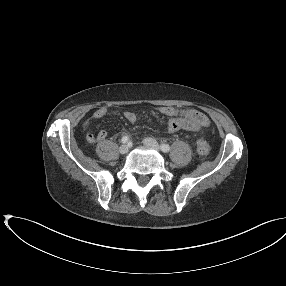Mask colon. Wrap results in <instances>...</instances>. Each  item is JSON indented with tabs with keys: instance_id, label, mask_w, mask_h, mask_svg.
Here are the masks:
<instances>
[{
	"instance_id": "1",
	"label": "colon",
	"mask_w": 286,
	"mask_h": 286,
	"mask_svg": "<svg viewBox=\"0 0 286 286\" xmlns=\"http://www.w3.org/2000/svg\"><path fill=\"white\" fill-rule=\"evenodd\" d=\"M196 147H197L198 153L202 156H206L209 153V145L203 139H199L197 141Z\"/></svg>"
}]
</instances>
